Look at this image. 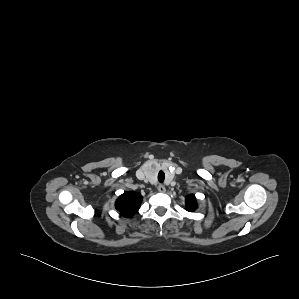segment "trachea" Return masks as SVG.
<instances>
[{
	"label": "trachea",
	"instance_id": "3493384b",
	"mask_svg": "<svg viewBox=\"0 0 299 299\" xmlns=\"http://www.w3.org/2000/svg\"><path fill=\"white\" fill-rule=\"evenodd\" d=\"M164 179H165V173H164L163 171H160V172L158 173V181H159L160 183H162V182L164 181Z\"/></svg>",
	"mask_w": 299,
	"mask_h": 299
}]
</instances>
